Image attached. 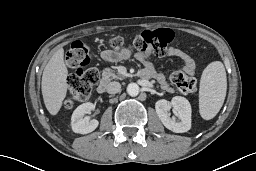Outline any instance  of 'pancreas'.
<instances>
[{"label": "pancreas", "mask_w": 256, "mask_h": 171, "mask_svg": "<svg viewBox=\"0 0 256 171\" xmlns=\"http://www.w3.org/2000/svg\"><path fill=\"white\" fill-rule=\"evenodd\" d=\"M125 75H117L114 70L105 68L102 72V82L107 83L113 79L123 80Z\"/></svg>", "instance_id": "pancreas-1"}]
</instances>
